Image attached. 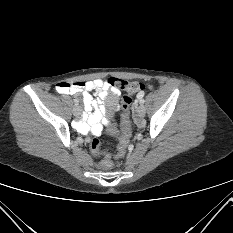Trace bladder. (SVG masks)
<instances>
[{
    "instance_id": "obj_1",
    "label": "bladder",
    "mask_w": 233,
    "mask_h": 233,
    "mask_svg": "<svg viewBox=\"0 0 233 233\" xmlns=\"http://www.w3.org/2000/svg\"><path fill=\"white\" fill-rule=\"evenodd\" d=\"M110 99H111L112 102H116L118 98H117L116 95H111Z\"/></svg>"
}]
</instances>
